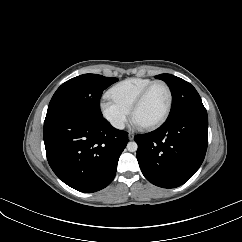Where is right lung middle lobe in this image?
I'll return each instance as SVG.
<instances>
[{"instance_id": "1", "label": "right lung middle lobe", "mask_w": 242, "mask_h": 242, "mask_svg": "<svg viewBox=\"0 0 242 242\" xmlns=\"http://www.w3.org/2000/svg\"><path fill=\"white\" fill-rule=\"evenodd\" d=\"M117 81V78L97 74H83L66 81L54 93L46 118L63 113H81L102 118V92Z\"/></svg>"}]
</instances>
